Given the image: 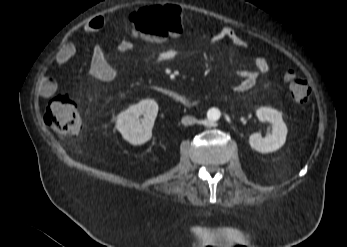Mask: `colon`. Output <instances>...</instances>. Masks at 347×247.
Masks as SVG:
<instances>
[{"instance_id": "colon-1", "label": "colon", "mask_w": 347, "mask_h": 247, "mask_svg": "<svg viewBox=\"0 0 347 247\" xmlns=\"http://www.w3.org/2000/svg\"><path fill=\"white\" fill-rule=\"evenodd\" d=\"M129 20L138 33L161 40L182 32L185 15L175 5H154L132 13ZM284 81L297 103L308 101L311 88L300 73L290 70L284 74ZM44 122L52 130L64 136H76L82 127L77 103L64 94H56L50 98L44 113Z\"/></svg>"}]
</instances>
